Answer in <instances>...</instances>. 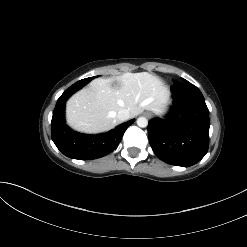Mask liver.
I'll use <instances>...</instances> for the list:
<instances>
[{"label": "liver", "instance_id": "obj_1", "mask_svg": "<svg viewBox=\"0 0 247 247\" xmlns=\"http://www.w3.org/2000/svg\"><path fill=\"white\" fill-rule=\"evenodd\" d=\"M168 102L167 87L157 76L147 72L96 78L68 100L67 123L84 133L105 132L121 122L117 118L121 109H127L130 117L143 110L162 114Z\"/></svg>", "mask_w": 247, "mask_h": 247}]
</instances>
